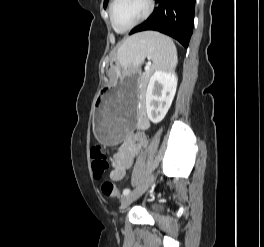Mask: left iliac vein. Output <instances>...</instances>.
I'll use <instances>...</instances> for the list:
<instances>
[{
    "label": "left iliac vein",
    "mask_w": 264,
    "mask_h": 247,
    "mask_svg": "<svg viewBox=\"0 0 264 247\" xmlns=\"http://www.w3.org/2000/svg\"><path fill=\"white\" fill-rule=\"evenodd\" d=\"M153 175L149 176L136 190L125 195L121 200V210L125 209L131 202L139 198L150 186Z\"/></svg>",
    "instance_id": "left-iliac-vein-1"
}]
</instances>
